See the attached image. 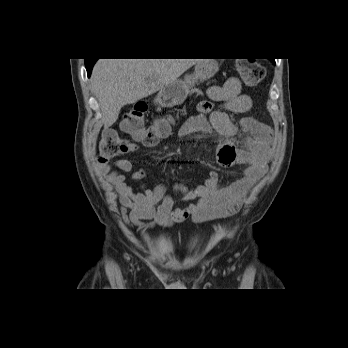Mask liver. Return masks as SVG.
I'll list each match as a JSON object with an SVG mask.
<instances>
[{
    "instance_id": "6515ba94",
    "label": "liver",
    "mask_w": 348,
    "mask_h": 348,
    "mask_svg": "<svg viewBox=\"0 0 348 348\" xmlns=\"http://www.w3.org/2000/svg\"><path fill=\"white\" fill-rule=\"evenodd\" d=\"M200 59H99L91 86L100 104L105 127L112 126L121 108L175 82Z\"/></svg>"
}]
</instances>
